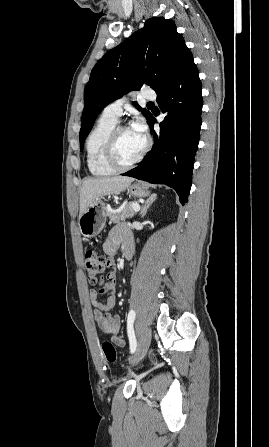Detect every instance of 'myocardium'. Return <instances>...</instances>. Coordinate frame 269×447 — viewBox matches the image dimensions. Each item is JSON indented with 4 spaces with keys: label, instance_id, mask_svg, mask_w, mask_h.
I'll return each mask as SVG.
<instances>
[{
    "label": "myocardium",
    "instance_id": "1",
    "mask_svg": "<svg viewBox=\"0 0 269 447\" xmlns=\"http://www.w3.org/2000/svg\"><path fill=\"white\" fill-rule=\"evenodd\" d=\"M130 127L129 125H115V127L111 130V132L108 135L107 142H106V148H105V159L107 163L113 167L115 170H127L138 163H140L152 146V141L149 136H146V145L141 154L132 162L130 163H123L118 158V152H117V137L121 130Z\"/></svg>",
    "mask_w": 269,
    "mask_h": 447
}]
</instances>
